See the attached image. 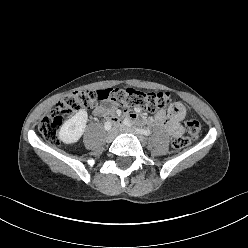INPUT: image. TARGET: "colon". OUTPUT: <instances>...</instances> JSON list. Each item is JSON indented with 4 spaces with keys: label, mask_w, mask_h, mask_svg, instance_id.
<instances>
[{
    "label": "colon",
    "mask_w": 248,
    "mask_h": 248,
    "mask_svg": "<svg viewBox=\"0 0 248 248\" xmlns=\"http://www.w3.org/2000/svg\"><path fill=\"white\" fill-rule=\"evenodd\" d=\"M109 99L113 103L133 110L154 111L171 101L165 92H144L133 88H108L97 91L77 90L63 97L39 123V131L50 144L58 143V132L62 124L76 111L93 107L98 101ZM186 135L176 137L172 141L175 150L186 147L191 140L199 137L202 126L196 119L185 125Z\"/></svg>",
    "instance_id": "obj_1"
}]
</instances>
